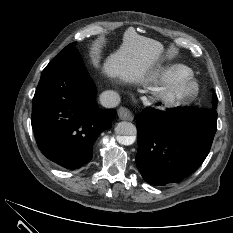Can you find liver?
<instances>
[{
	"label": "liver",
	"instance_id": "6515ba94",
	"mask_svg": "<svg viewBox=\"0 0 233 233\" xmlns=\"http://www.w3.org/2000/svg\"><path fill=\"white\" fill-rule=\"evenodd\" d=\"M163 51L162 45L152 39L127 31L119 50L112 53L103 65V73L125 83H145L149 70Z\"/></svg>",
	"mask_w": 233,
	"mask_h": 233
}]
</instances>
